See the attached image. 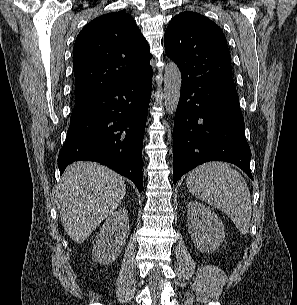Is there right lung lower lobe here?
I'll return each instance as SVG.
<instances>
[{"instance_id":"1","label":"right lung lower lobe","mask_w":297,"mask_h":305,"mask_svg":"<svg viewBox=\"0 0 297 305\" xmlns=\"http://www.w3.org/2000/svg\"><path fill=\"white\" fill-rule=\"evenodd\" d=\"M151 88L152 69L76 104L58 156L60 174L74 161H96L132 180L142 192V146Z\"/></svg>"}]
</instances>
